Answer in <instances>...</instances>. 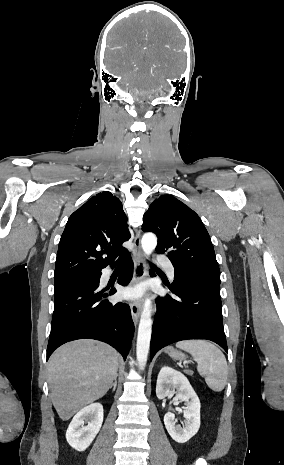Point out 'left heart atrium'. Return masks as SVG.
<instances>
[{"label": "left heart atrium", "instance_id": "obj_1", "mask_svg": "<svg viewBox=\"0 0 284 465\" xmlns=\"http://www.w3.org/2000/svg\"><path fill=\"white\" fill-rule=\"evenodd\" d=\"M138 295H139V290H137V289L128 290V291L126 292V296H127L128 298H135V297H137Z\"/></svg>", "mask_w": 284, "mask_h": 465}]
</instances>
